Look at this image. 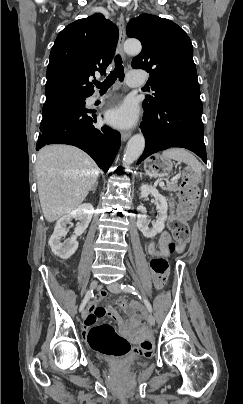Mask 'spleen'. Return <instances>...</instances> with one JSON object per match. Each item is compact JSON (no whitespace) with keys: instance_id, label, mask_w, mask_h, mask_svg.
I'll return each instance as SVG.
<instances>
[{"instance_id":"spleen-1","label":"spleen","mask_w":243,"mask_h":404,"mask_svg":"<svg viewBox=\"0 0 243 404\" xmlns=\"http://www.w3.org/2000/svg\"><path fill=\"white\" fill-rule=\"evenodd\" d=\"M164 158H170V160H176V162H184L187 166L192 168L193 172H196L197 176L201 174V166L196 160L195 156H192L190 152L184 150V148H171V150H165L162 152Z\"/></svg>"}]
</instances>
